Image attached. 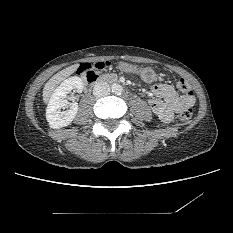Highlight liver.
I'll list each match as a JSON object with an SVG mask.
<instances>
[{
    "instance_id": "liver-1",
    "label": "liver",
    "mask_w": 233,
    "mask_h": 233,
    "mask_svg": "<svg viewBox=\"0 0 233 233\" xmlns=\"http://www.w3.org/2000/svg\"><path fill=\"white\" fill-rule=\"evenodd\" d=\"M78 68V64H74L72 66H69L63 70H61L60 72H58L57 74H55L52 78H50L47 83L45 84L44 88H43V101L45 103L48 102L49 97L51 95V93L54 91V89L56 88V86L65 78H67L68 76H70L71 74H73Z\"/></svg>"
}]
</instances>
